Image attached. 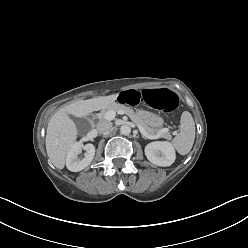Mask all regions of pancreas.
<instances>
[{
	"label": "pancreas",
	"instance_id": "cf45deb5",
	"mask_svg": "<svg viewBox=\"0 0 248 248\" xmlns=\"http://www.w3.org/2000/svg\"><path fill=\"white\" fill-rule=\"evenodd\" d=\"M124 111L125 114H127L131 119L132 121L137 124V125H140L147 133L149 134H155V133H158L159 130L157 129H153L151 128L149 125H147L138 115L136 112H134L133 109L127 107V106H124V105H121V104H117V103H113L111 104L110 106H108L107 108L103 109L100 113V116L99 118L100 119H104V115L108 112V111H115V112H118V111ZM162 137L163 138H166V139H169L171 138V135L169 132H166V133H163L162 134Z\"/></svg>",
	"mask_w": 248,
	"mask_h": 248
}]
</instances>
